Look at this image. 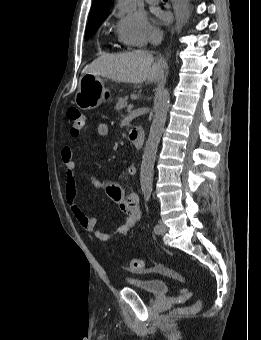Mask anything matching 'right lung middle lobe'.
Here are the masks:
<instances>
[{"label": "right lung middle lobe", "instance_id": "1", "mask_svg": "<svg viewBox=\"0 0 261 340\" xmlns=\"http://www.w3.org/2000/svg\"><path fill=\"white\" fill-rule=\"evenodd\" d=\"M106 18L103 19H99L96 20L94 22H91L87 25L86 28V34H85V40H88L96 31L97 29L100 27V25L102 24V22L105 20Z\"/></svg>", "mask_w": 261, "mask_h": 340}]
</instances>
